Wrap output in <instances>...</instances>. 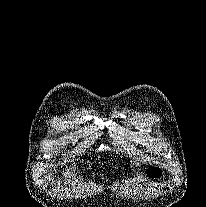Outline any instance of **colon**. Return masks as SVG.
Here are the masks:
<instances>
[{
  "instance_id": "colon-1",
  "label": "colon",
  "mask_w": 206,
  "mask_h": 207,
  "mask_svg": "<svg viewBox=\"0 0 206 207\" xmlns=\"http://www.w3.org/2000/svg\"><path fill=\"white\" fill-rule=\"evenodd\" d=\"M146 174L150 178H157L161 175V171L158 168H150Z\"/></svg>"
}]
</instances>
